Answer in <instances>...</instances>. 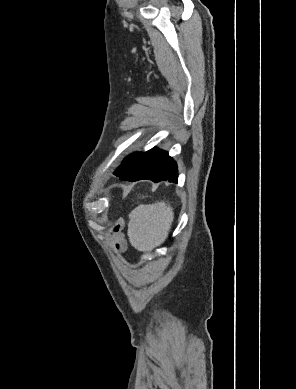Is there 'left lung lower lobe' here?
<instances>
[{
	"mask_svg": "<svg viewBox=\"0 0 296 389\" xmlns=\"http://www.w3.org/2000/svg\"><path fill=\"white\" fill-rule=\"evenodd\" d=\"M114 175L121 180L138 181L149 179L153 182L178 181L176 162L167 152L152 148L144 153H133L126 157Z\"/></svg>",
	"mask_w": 296,
	"mask_h": 389,
	"instance_id": "1",
	"label": "left lung lower lobe"
}]
</instances>
